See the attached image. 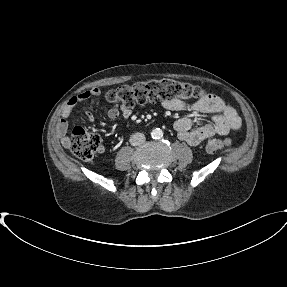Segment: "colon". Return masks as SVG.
I'll return each mask as SVG.
<instances>
[{"label":"colon","instance_id":"1","mask_svg":"<svg viewBox=\"0 0 287 287\" xmlns=\"http://www.w3.org/2000/svg\"><path fill=\"white\" fill-rule=\"evenodd\" d=\"M205 96V91L199 86L162 79L124 85L108 92L106 98L110 103L132 108L137 104L144 105L158 100L181 99L188 102H198ZM229 144V139L212 138L207 142L206 150L213 153L224 149ZM101 146V138L98 134L89 132L82 127L73 129L69 139V148L76 158L89 161L101 149Z\"/></svg>","mask_w":287,"mask_h":287}]
</instances>
